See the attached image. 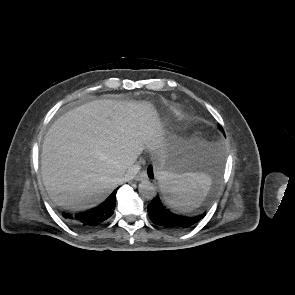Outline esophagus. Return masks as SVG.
<instances>
[{"mask_svg":"<svg viewBox=\"0 0 295 295\" xmlns=\"http://www.w3.org/2000/svg\"><path fill=\"white\" fill-rule=\"evenodd\" d=\"M148 175L146 173V171H142L140 173H138V175L136 176V180H143V179H147Z\"/></svg>","mask_w":295,"mask_h":295,"instance_id":"obj_1","label":"esophagus"}]
</instances>
